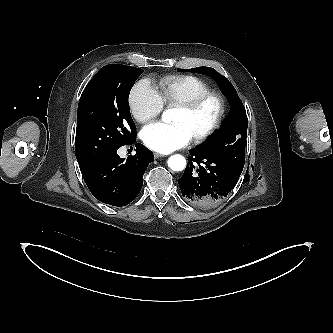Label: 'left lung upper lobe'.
<instances>
[{"label":"left lung upper lobe","instance_id":"obj_1","mask_svg":"<svg viewBox=\"0 0 333 333\" xmlns=\"http://www.w3.org/2000/svg\"><path fill=\"white\" fill-rule=\"evenodd\" d=\"M205 74L212 77L218 84L221 91L229 99L231 111L223 128L215 137L209 140L199 149L209 156L222 160L239 172H242L245 162V146L248 119L238 94L230 81L210 67H197L193 69H178Z\"/></svg>","mask_w":333,"mask_h":333}]
</instances>
